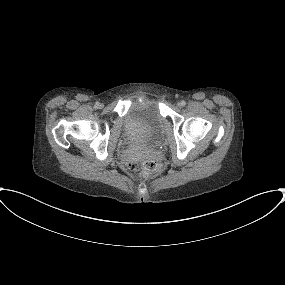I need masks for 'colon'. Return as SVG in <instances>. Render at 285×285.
<instances>
[{
	"label": "colon",
	"instance_id": "1",
	"mask_svg": "<svg viewBox=\"0 0 285 285\" xmlns=\"http://www.w3.org/2000/svg\"><path fill=\"white\" fill-rule=\"evenodd\" d=\"M129 168L132 170L140 169L143 176H149L159 170V163L153 159H148L140 164L131 162L129 163Z\"/></svg>",
	"mask_w": 285,
	"mask_h": 285
}]
</instances>
